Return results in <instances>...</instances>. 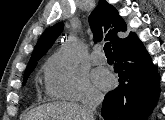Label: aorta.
Listing matches in <instances>:
<instances>
[{
	"label": "aorta",
	"mask_w": 165,
	"mask_h": 120,
	"mask_svg": "<svg viewBox=\"0 0 165 120\" xmlns=\"http://www.w3.org/2000/svg\"><path fill=\"white\" fill-rule=\"evenodd\" d=\"M61 55L69 65L75 66L81 55L79 41L76 38L68 40L61 50Z\"/></svg>",
	"instance_id": "762f6f07"
}]
</instances>
